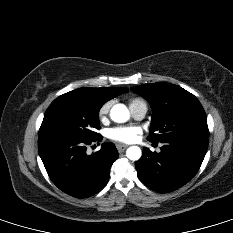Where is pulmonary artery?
<instances>
[{
	"label": "pulmonary artery",
	"instance_id": "1",
	"mask_svg": "<svg viewBox=\"0 0 233 233\" xmlns=\"http://www.w3.org/2000/svg\"><path fill=\"white\" fill-rule=\"evenodd\" d=\"M130 111L135 119L140 120L147 113V105L144 102L134 104L130 106Z\"/></svg>",
	"mask_w": 233,
	"mask_h": 233
}]
</instances>
